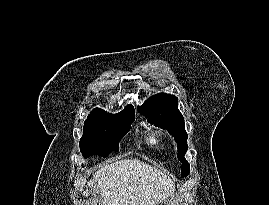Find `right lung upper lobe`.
I'll return each mask as SVG.
<instances>
[{
    "mask_svg": "<svg viewBox=\"0 0 269 205\" xmlns=\"http://www.w3.org/2000/svg\"><path fill=\"white\" fill-rule=\"evenodd\" d=\"M135 110L132 105H128L123 111L117 114H108L102 109H95L89 115L87 119L94 118H126L134 116Z\"/></svg>",
    "mask_w": 269,
    "mask_h": 205,
    "instance_id": "right-lung-upper-lobe-1",
    "label": "right lung upper lobe"
}]
</instances>
